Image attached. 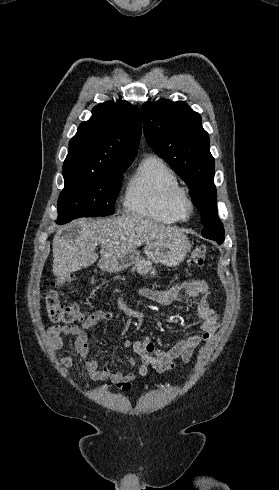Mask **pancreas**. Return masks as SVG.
<instances>
[{
    "mask_svg": "<svg viewBox=\"0 0 279 490\" xmlns=\"http://www.w3.org/2000/svg\"><path fill=\"white\" fill-rule=\"evenodd\" d=\"M131 272H137V274H140V276H146V274L156 276V270L153 268L150 260H139V262L135 264L134 268H132Z\"/></svg>",
    "mask_w": 279,
    "mask_h": 490,
    "instance_id": "obj_1",
    "label": "pancreas"
}]
</instances>
